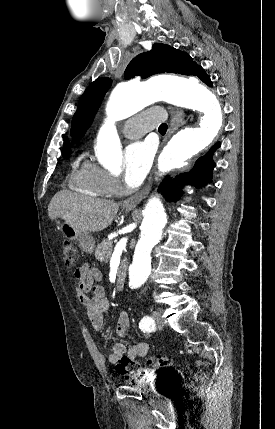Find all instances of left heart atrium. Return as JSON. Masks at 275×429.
<instances>
[{
	"mask_svg": "<svg viewBox=\"0 0 275 429\" xmlns=\"http://www.w3.org/2000/svg\"><path fill=\"white\" fill-rule=\"evenodd\" d=\"M155 145L148 140L130 144L124 156V181L131 187H138L144 180L154 157Z\"/></svg>",
	"mask_w": 275,
	"mask_h": 429,
	"instance_id": "obj_1",
	"label": "left heart atrium"
}]
</instances>
